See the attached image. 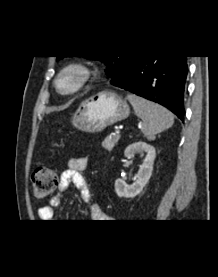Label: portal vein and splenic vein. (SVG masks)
Returning a JSON list of instances; mask_svg holds the SVG:
<instances>
[{
  "label": "portal vein and splenic vein",
  "instance_id": "portal-vein-and-splenic-vein-1",
  "mask_svg": "<svg viewBox=\"0 0 218 277\" xmlns=\"http://www.w3.org/2000/svg\"><path fill=\"white\" fill-rule=\"evenodd\" d=\"M115 134L119 135L120 134V130H116Z\"/></svg>",
  "mask_w": 218,
  "mask_h": 277
}]
</instances>
